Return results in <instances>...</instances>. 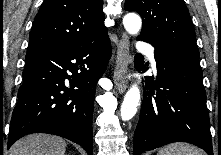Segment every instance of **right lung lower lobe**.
Segmentation results:
<instances>
[{
  "label": "right lung lower lobe",
  "instance_id": "right-lung-lower-lobe-1",
  "mask_svg": "<svg viewBox=\"0 0 221 155\" xmlns=\"http://www.w3.org/2000/svg\"><path fill=\"white\" fill-rule=\"evenodd\" d=\"M110 55L107 34L80 44L29 48L7 147L26 134L40 132L67 138L93 155L95 89Z\"/></svg>",
  "mask_w": 221,
  "mask_h": 155
}]
</instances>
